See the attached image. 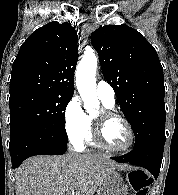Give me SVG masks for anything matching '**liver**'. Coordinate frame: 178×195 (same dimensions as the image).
I'll use <instances>...</instances> for the list:
<instances>
[{
	"label": "liver",
	"instance_id": "6515ba94",
	"mask_svg": "<svg viewBox=\"0 0 178 195\" xmlns=\"http://www.w3.org/2000/svg\"><path fill=\"white\" fill-rule=\"evenodd\" d=\"M126 167L93 154L34 156L16 170L15 191L16 195H93L109 170Z\"/></svg>",
	"mask_w": 178,
	"mask_h": 195
}]
</instances>
